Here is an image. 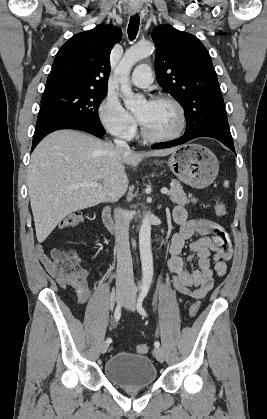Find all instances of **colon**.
<instances>
[{
	"instance_id": "5ec220e1",
	"label": "colon",
	"mask_w": 267,
	"mask_h": 419,
	"mask_svg": "<svg viewBox=\"0 0 267 419\" xmlns=\"http://www.w3.org/2000/svg\"><path fill=\"white\" fill-rule=\"evenodd\" d=\"M214 211L218 216L224 215L226 213L225 203L221 200H217L214 204ZM83 221L84 215L81 212H72L62 220L60 225L63 228H70L81 224ZM48 257L54 271L60 276L71 277L81 272V268L78 266V254L74 251L55 249ZM199 308V301L192 303L189 308V316L192 318L195 317ZM136 351L141 354H146L149 351V346L147 344H139L136 346Z\"/></svg>"
}]
</instances>
